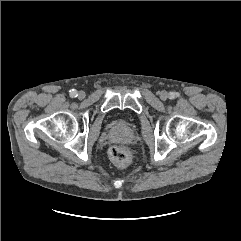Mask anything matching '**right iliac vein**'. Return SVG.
I'll list each match as a JSON object with an SVG mask.
<instances>
[{
    "label": "right iliac vein",
    "mask_w": 241,
    "mask_h": 241,
    "mask_svg": "<svg viewBox=\"0 0 241 241\" xmlns=\"http://www.w3.org/2000/svg\"><path fill=\"white\" fill-rule=\"evenodd\" d=\"M77 96H78L79 99H84L85 98V92L79 91Z\"/></svg>",
    "instance_id": "right-iliac-vein-1"
}]
</instances>
